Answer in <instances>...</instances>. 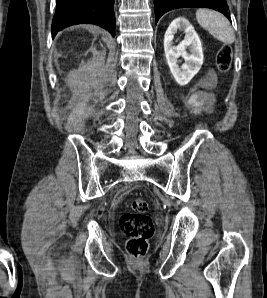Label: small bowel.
<instances>
[{"label":"small bowel","instance_id":"c3829d8e","mask_svg":"<svg viewBox=\"0 0 267 298\" xmlns=\"http://www.w3.org/2000/svg\"><path fill=\"white\" fill-rule=\"evenodd\" d=\"M214 81V74L209 72L204 80V84L207 87H211L214 84ZM188 108L196 114L208 112L212 109V100L208 93L195 92L188 99Z\"/></svg>","mask_w":267,"mask_h":298}]
</instances>
